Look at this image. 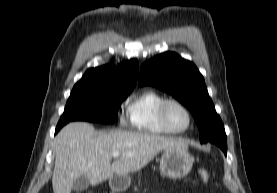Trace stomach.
Returning a JSON list of instances; mask_svg holds the SVG:
<instances>
[{"instance_id":"obj_1","label":"stomach","mask_w":277,"mask_h":193,"mask_svg":"<svg viewBox=\"0 0 277 193\" xmlns=\"http://www.w3.org/2000/svg\"><path fill=\"white\" fill-rule=\"evenodd\" d=\"M193 157L188 152V148L174 147L163 151L160 160L162 173L171 178L179 179L185 177L191 170ZM131 183L129 175H116L110 179V188L117 192L125 191Z\"/></svg>"}]
</instances>
